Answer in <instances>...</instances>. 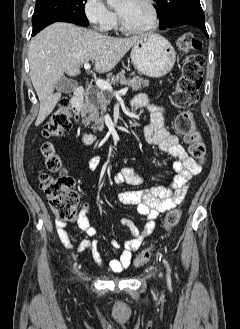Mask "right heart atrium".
<instances>
[{
	"label": "right heart atrium",
	"instance_id": "right-heart-atrium-1",
	"mask_svg": "<svg viewBox=\"0 0 240 329\" xmlns=\"http://www.w3.org/2000/svg\"><path fill=\"white\" fill-rule=\"evenodd\" d=\"M83 12L98 32H107L116 24V14L109 9L104 0H85Z\"/></svg>",
	"mask_w": 240,
	"mask_h": 329
}]
</instances>
